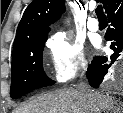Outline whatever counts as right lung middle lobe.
Wrapping results in <instances>:
<instances>
[{
  "mask_svg": "<svg viewBox=\"0 0 123 113\" xmlns=\"http://www.w3.org/2000/svg\"><path fill=\"white\" fill-rule=\"evenodd\" d=\"M47 35L24 42L13 50L10 96L17 99L35 89L54 84L43 71L42 52Z\"/></svg>",
  "mask_w": 123,
  "mask_h": 113,
  "instance_id": "dd1d6c3e",
  "label": "right lung middle lobe"
}]
</instances>
